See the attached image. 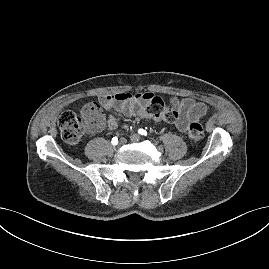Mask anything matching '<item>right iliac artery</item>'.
I'll return each instance as SVG.
<instances>
[{
  "mask_svg": "<svg viewBox=\"0 0 269 269\" xmlns=\"http://www.w3.org/2000/svg\"><path fill=\"white\" fill-rule=\"evenodd\" d=\"M117 142H118V138L117 137H113L112 138V141H111L112 145H117Z\"/></svg>",
  "mask_w": 269,
  "mask_h": 269,
  "instance_id": "obj_1",
  "label": "right iliac artery"
}]
</instances>
